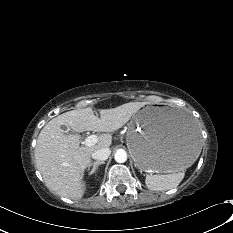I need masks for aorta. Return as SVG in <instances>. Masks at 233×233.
<instances>
[{
	"instance_id": "762f6f07",
	"label": "aorta",
	"mask_w": 233,
	"mask_h": 233,
	"mask_svg": "<svg viewBox=\"0 0 233 233\" xmlns=\"http://www.w3.org/2000/svg\"><path fill=\"white\" fill-rule=\"evenodd\" d=\"M114 159L118 163H124L127 160V153L124 149H118L115 152Z\"/></svg>"
}]
</instances>
